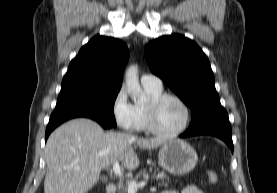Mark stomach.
<instances>
[{
	"label": "stomach",
	"instance_id": "0dacf381",
	"mask_svg": "<svg viewBox=\"0 0 277 193\" xmlns=\"http://www.w3.org/2000/svg\"><path fill=\"white\" fill-rule=\"evenodd\" d=\"M163 169L174 175H185L197 164L198 156L194 148L180 139L167 140L158 153Z\"/></svg>",
	"mask_w": 277,
	"mask_h": 193
}]
</instances>
